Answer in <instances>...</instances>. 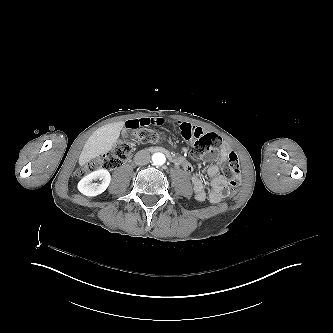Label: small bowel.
<instances>
[{
    "label": "small bowel",
    "instance_id": "obj_1",
    "mask_svg": "<svg viewBox=\"0 0 333 333\" xmlns=\"http://www.w3.org/2000/svg\"><path fill=\"white\" fill-rule=\"evenodd\" d=\"M165 119L162 117H142L138 119H127L125 124L130 126L132 129L136 127H143V126H162L165 124ZM178 125L181 127L182 130H187L192 133H203L200 128H196L191 126L188 123L178 122ZM177 159L176 164L181 165L185 172L189 173L192 170L191 164L181 155H174L172 156ZM228 159V150L227 148L223 147L216 158V163L211 164L207 168V174L210 177V181L208 187L204 185L202 179L198 175H193L192 177V184L195 199L197 201H204L208 199L209 202L212 204L220 203L228 194L230 193V189L228 187V181L226 177L220 174V168Z\"/></svg>",
    "mask_w": 333,
    "mask_h": 333
}]
</instances>
